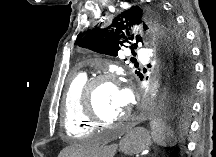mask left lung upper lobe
Wrapping results in <instances>:
<instances>
[{"mask_svg":"<svg viewBox=\"0 0 216 157\" xmlns=\"http://www.w3.org/2000/svg\"><path fill=\"white\" fill-rule=\"evenodd\" d=\"M138 25L155 36L162 50L168 70L167 84L172 74L182 86L191 83L193 64L185 37L174 20L158 6H131L117 15L108 27L91 31L78 45L111 56H117L118 51L126 44H131L130 48L134 51L137 43L142 42L140 35L131 33ZM136 74L142 78L140 73Z\"/></svg>","mask_w":216,"mask_h":157,"instance_id":"5c2ea615","label":"left lung upper lobe"}]
</instances>
